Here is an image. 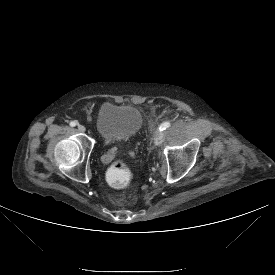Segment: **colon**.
Segmentation results:
<instances>
[{
  "instance_id": "colon-1",
  "label": "colon",
  "mask_w": 275,
  "mask_h": 275,
  "mask_svg": "<svg viewBox=\"0 0 275 275\" xmlns=\"http://www.w3.org/2000/svg\"><path fill=\"white\" fill-rule=\"evenodd\" d=\"M107 180L114 187H122L130 180L127 163L122 159L112 161L106 172Z\"/></svg>"
}]
</instances>
